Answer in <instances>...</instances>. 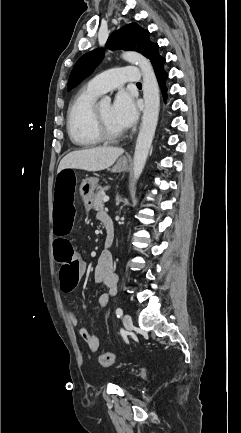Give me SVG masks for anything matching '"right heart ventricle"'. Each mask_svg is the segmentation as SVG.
<instances>
[{
    "label": "right heart ventricle",
    "mask_w": 241,
    "mask_h": 433,
    "mask_svg": "<svg viewBox=\"0 0 241 433\" xmlns=\"http://www.w3.org/2000/svg\"><path fill=\"white\" fill-rule=\"evenodd\" d=\"M98 94L81 89L72 101L68 116L67 129L72 143L78 147H94L102 142L93 124V109Z\"/></svg>",
    "instance_id": "right-heart-ventricle-1"
}]
</instances>
